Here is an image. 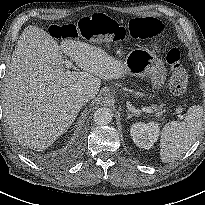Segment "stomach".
<instances>
[{
  "label": "stomach",
  "mask_w": 205,
  "mask_h": 205,
  "mask_svg": "<svg viewBox=\"0 0 205 205\" xmlns=\"http://www.w3.org/2000/svg\"><path fill=\"white\" fill-rule=\"evenodd\" d=\"M129 76L143 77L148 75L157 88L164 85L166 68L163 61L148 49H132L124 60Z\"/></svg>",
  "instance_id": "1"
}]
</instances>
